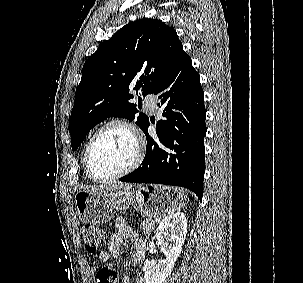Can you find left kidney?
<instances>
[{
	"label": "left kidney",
	"mask_w": 303,
	"mask_h": 283,
	"mask_svg": "<svg viewBox=\"0 0 303 283\" xmlns=\"http://www.w3.org/2000/svg\"><path fill=\"white\" fill-rule=\"evenodd\" d=\"M187 233V219L183 213L170 215L162 220L156 230V238L165 259L157 264L144 262L145 283H163L171 274L179 257Z\"/></svg>",
	"instance_id": "left-kidney-1"
}]
</instances>
